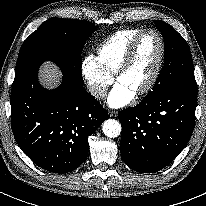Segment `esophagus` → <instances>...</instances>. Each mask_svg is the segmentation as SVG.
Masks as SVG:
<instances>
[{
  "mask_svg": "<svg viewBox=\"0 0 206 206\" xmlns=\"http://www.w3.org/2000/svg\"><path fill=\"white\" fill-rule=\"evenodd\" d=\"M117 115H118V112H117V111H113V110H110V111H109V116H110V117H117Z\"/></svg>",
  "mask_w": 206,
  "mask_h": 206,
  "instance_id": "1",
  "label": "esophagus"
}]
</instances>
